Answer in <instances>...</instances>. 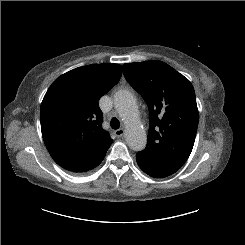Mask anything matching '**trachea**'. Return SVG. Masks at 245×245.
Here are the masks:
<instances>
[{
	"label": "trachea",
	"mask_w": 245,
	"mask_h": 245,
	"mask_svg": "<svg viewBox=\"0 0 245 245\" xmlns=\"http://www.w3.org/2000/svg\"><path fill=\"white\" fill-rule=\"evenodd\" d=\"M110 124H111V127H112L113 129H118V128L120 127V122H119V120H118L117 118H115V117H113V118L111 119Z\"/></svg>",
	"instance_id": "1"
}]
</instances>
